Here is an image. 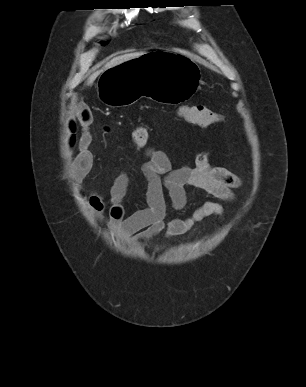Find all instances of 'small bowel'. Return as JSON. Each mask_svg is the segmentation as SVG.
Listing matches in <instances>:
<instances>
[{"mask_svg":"<svg viewBox=\"0 0 306 387\" xmlns=\"http://www.w3.org/2000/svg\"><path fill=\"white\" fill-rule=\"evenodd\" d=\"M78 118L81 126L80 135L76 137V125L70 122L68 144L71 149L75 146L77 148L73 162V174L77 180H82L93 165V154L89 149L92 142L90 126L93 117L88 109H82ZM145 156L147 160L142 165V173L147 182L145 194L147 206L145 208L129 216L125 215L122 202L130 183L127 172L119 173L110 188L107 219L116 233L142 240H150L160 234L173 238L186 234L196 223L207 217L214 216L222 219L224 216L222 203L205 201L187 217L166 220L165 192L175 212L185 209L188 186L201 189L225 203L235 201V189L241 185L240 178L226 168L212 165L209 152L203 151L197 154L193 165H181L177 168L172 166L165 152L156 148L148 147L145 150ZM80 194L84 197L83 192ZM85 201L97 220L102 221L107 209L102 194L93 191L85 196Z\"/></svg>","mask_w":306,"mask_h":387,"instance_id":"c3829d8e","label":"small bowel"}]
</instances>
